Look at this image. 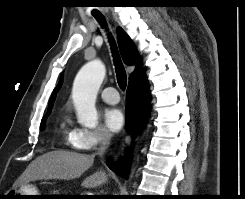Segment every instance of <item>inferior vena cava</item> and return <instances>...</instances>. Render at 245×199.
<instances>
[{"label":"inferior vena cava","instance_id":"1","mask_svg":"<svg viewBox=\"0 0 245 199\" xmlns=\"http://www.w3.org/2000/svg\"><path fill=\"white\" fill-rule=\"evenodd\" d=\"M111 133L107 130L103 131L100 135V146L97 154L103 155L110 144Z\"/></svg>","mask_w":245,"mask_h":199}]
</instances>
